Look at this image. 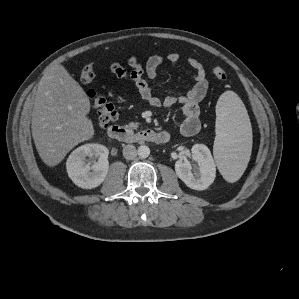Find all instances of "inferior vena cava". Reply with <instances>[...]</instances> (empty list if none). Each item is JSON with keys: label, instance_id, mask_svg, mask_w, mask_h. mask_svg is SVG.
Returning <instances> with one entry per match:
<instances>
[{"label": "inferior vena cava", "instance_id": "inferior-vena-cava-1", "mask_svg": "<svg viewBox=\"0 0 299 299\" xmlns=\"http://www.w3.org/2000/svg\"><path fill=\"white\" fill-rule=\"evenodd\" d=\"M123 156L128 159L132 160L137 156V150L134 145H126L123 148Z\"/></svg>", "mask_w": 299, "mask_h": 299}]
</instances>
